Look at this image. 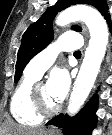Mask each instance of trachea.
I'll return each instance as SVG.
<instances>
[{"label":"trachea","instance_id":"3493384b","mask_svg":"<svg viewBox=\"0 0 112 135\" xmlns=\"http://www.w3.org/2000/svg\"><path fill=\"white\" fill-rule=\"evenodd\" d=\"M74 54L79 55V54H81V52L80 51H75Z\"/></svg>","mask_w":112,"mask_h":135}]
</instances>
